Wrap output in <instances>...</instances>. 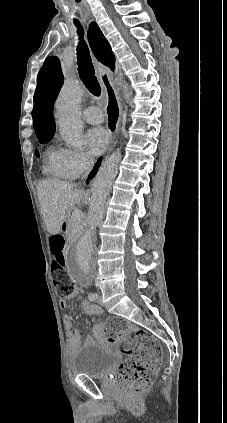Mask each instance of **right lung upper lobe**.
<instances>
[{
  "label": "right lung upper lobe",
  "instance_id": "right-lung-upper-lobe-1",
  "mask_svg": "<svg viewBox=\"0 0 227 423\" xmlns=\"http://www.w3.org/2000/svg\"><path fill=\"white\" fill-rule=\"evenodd\" d=\"M88 41L97 59L114 70L115 56L96 23H91ZM63 74L57 57H48L37 77L32 111L33 125L38 137L54 134L55 122L52 116L53 103L63 85Z\"/></svg>",
  "mask_w": 227,
  "mask_h": 423
}]
</instances>
